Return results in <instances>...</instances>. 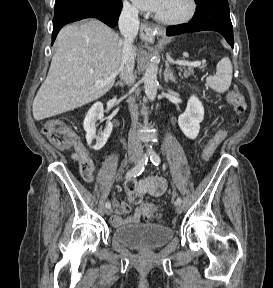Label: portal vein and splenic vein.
<instances>
[{
    "label": "portal vein and splenic vein",
    "mask_w": 273,
    "mask_h": 288,
    "mask_svg": "<svg viewBox=\"0 0 273 288\" xmlns=\"http://www.w3.org/2000/svg\"><path fill=\"white\" fill-rule=\"evenodd\" d=\"M177 65H183V66H189V67H200L201 62L195 61V62H188V61H175L174 62ZM97 83H102V81H98Z\"/></svg>",
    "instance_id": "1"
}]
</instances>
